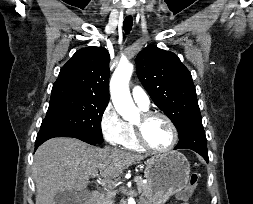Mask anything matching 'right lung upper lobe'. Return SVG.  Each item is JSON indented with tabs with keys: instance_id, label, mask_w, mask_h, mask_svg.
<instances>
[{
	"instance_id": "right-lung-upper-lobe-1",
	"label": "right lung upper lobe",
	"mask_w": 253,
	"mask_h": 204,
	"mask_svg": "<svg viewBox=\"0 0 253 204\" xmlns=\"http://www.w3.org/2000/svg\"><path fill=\"white\" fill-rule=\"evenodd\" d=\"M108 51L102 47L78 50L61 68L53 88H69L101 101H109Z\"/></svg>"
}]
</instances>
